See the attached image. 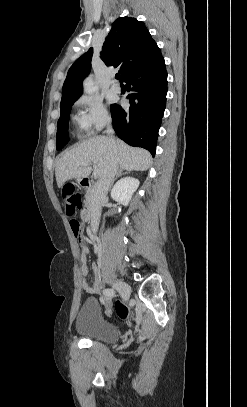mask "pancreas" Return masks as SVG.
Listing matches in <instances>:
<instances>
[{"label":"pancreas","mask_w":247,"mask_h":407,"mask_svg":"<svg viewBox=\"0 0 247 407\" xmlns=\"http://www.w3.org/2000/svg\"><path fill=\"white\" fill-rule=\"evenodd\" d=\"M92 199V190H87L86 192V202H90V200Z\"/></svg>","instance_id":"cf45deb5"}]
</instances>
